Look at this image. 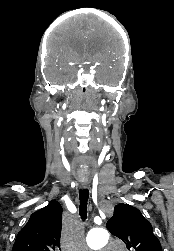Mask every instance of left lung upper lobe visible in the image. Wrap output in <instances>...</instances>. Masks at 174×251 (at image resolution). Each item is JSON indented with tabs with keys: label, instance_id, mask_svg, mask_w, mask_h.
Listing matches in <instances>:
<instances>
[{
	"label": "left lung upper lobe",
	"instance_id": "obj_1",
	"mask_svg": "<svg viewBox=\"0 0 174 251\" xmlns=\"http://www.w3.org/2000/svg\"><path fill=\"white\" fill-rule=\"evenodd\" d=\"M107 228L113 235L122 239L130 251H162L150 222L137 208L129 204L121 203L115 206Z\"/></svg>",
	"mask_w": 174,
	"mask_h": 251
}]
</instances>
